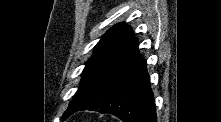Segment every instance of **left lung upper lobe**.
<instances>
[{
	"label": "left lung upper lobe",
	"mask_w": 221,
	"mask_h": 122,
	"mask_svg": "<svg viewBox=\"0 0 221 122\" xmlns=\"http://www.w3.org/2000/svg\"><path fill=\"white\" fill-rule=\"evenodd\" d=\"M131 37V29L125 23L114 25L102 36L83 70L80 87L69 104L70 112H65L64 117L77 111L95 94L122 57Z\"/></svg>",
	"instance_id": "5c2ea615"
}]
</instances>
